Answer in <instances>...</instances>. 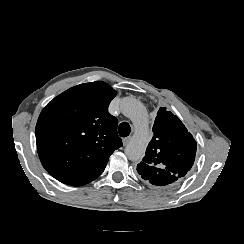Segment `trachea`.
Here are the masks:
<instances>
[{"label":"trachea","instance_id":"obj_1","mask_svg":"<svg viewBox=\"0 0 244 244\" xmlns=\"http://www.w3.org/2000/svg\"><path fill=\"white\" fill-rule=\"evenodd\" d=\"M118 132L121 137H127L131 132V127L127 122H122L118 127Z\"/></svg>","mask_w":244,"mask_h":244}]
</instances>
